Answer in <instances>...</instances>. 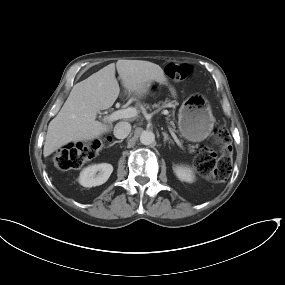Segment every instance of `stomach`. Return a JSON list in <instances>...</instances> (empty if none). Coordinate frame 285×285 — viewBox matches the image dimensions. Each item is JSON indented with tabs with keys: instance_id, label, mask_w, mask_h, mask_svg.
I'll use <instances>...</instances> for the list:
<instances>
[{
	"instance_id": "obj_1",
	"label": "stomach",
	"mask_w": 285,
	"mask_h": 285,
	"mask_svg": "<svg viewBox=\"0 0 285 285\" xmlns=\"http://www.w3.org/2000/svg\"><path fill=\"white\" fill-rule=\"evenodd\" d=\"M214 117L207 101L199 96L188 97L178 114V128L181 135L192 142H200L213 130Z\"/></svg>"
}]
</instances>
